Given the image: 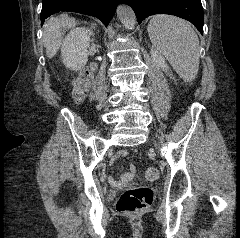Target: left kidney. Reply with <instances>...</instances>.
Masks as SVG:
<instances>
[{"instance_id":"left-kidney-1","label":"left kidney","mask_w":240,"mask_h":238,"mask_svg":"<svg viewBox=\"0 0 240 238\" xmlns=\"http://www.w3.org/2000/svg\"><path fill=\"white\" fill-rule=\"evenodd\" d=\"M150 53H151V57H152L154 63L157 66H159L162 70L168 71L169 67L166 64L165 58L161 55V53L154 48L151 49Z\"/></svg>"}]
</instances>
